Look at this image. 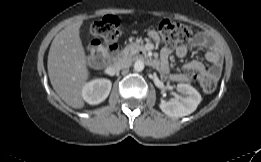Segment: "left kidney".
<instances>
[{"mask_svg": "<svg viewBox=\"0 0 261 162\" xmlns=\"http://www.w3.org/2000/svg\"><path fill=\"white\" fill-rule=\"evenodd\" d=\"M177 91L184 96L180 100L162 101L160 109L170 117H183L193 113L201 102V95L190 84H177Z\"/></svg>", "mask_w": 261, "mask_h": 162, "instance_id": "1", "label": "left kidney"}]
</instances>
